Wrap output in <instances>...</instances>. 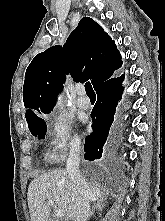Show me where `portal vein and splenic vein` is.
I'll list each match as a JSON object with an SVG mask.
<instances>
[{"mask_svg":"<svg viewBox=\"0 0 165 221\" xmlns=\"http://www.w3.org/2000/svg\"><path fill=\"white\" fill-rule=\"evenodd\" d=\"M48 204L50 206H54V202L52 200H49ZM54 214L58 218H62L65 216V212L61 208H57V207L54 208Z\"/></svg>","mask_w":165,"mask_h":221,"instance_id":"1","label":"portal vein and splenic vein"}]
</instances>
